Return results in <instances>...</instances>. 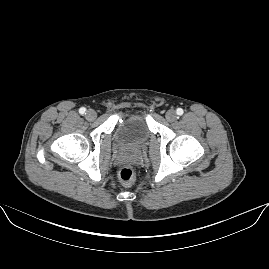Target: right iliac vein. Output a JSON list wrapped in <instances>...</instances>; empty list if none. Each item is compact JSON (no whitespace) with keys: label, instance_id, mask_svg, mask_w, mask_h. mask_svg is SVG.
<instances>
[{"label":"right iliac vein","instance_id":"right-iliac-vein-1","mask_svg":"<svg viewBox=\"0 0 269 269\" xmlns=\"http://www.w3.org/2000/svg\"><path fill=\"white\" fill-rule=\"evenodd\" d=\"M97 117V113L93 109H89L86 111V119L94 120Z\"/></svg>","mask_w":269,"mask_h":269}]
</instances>
